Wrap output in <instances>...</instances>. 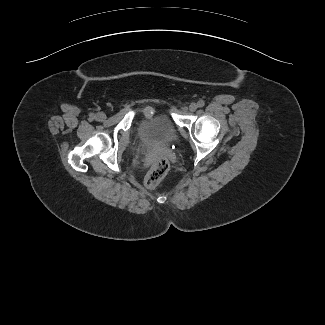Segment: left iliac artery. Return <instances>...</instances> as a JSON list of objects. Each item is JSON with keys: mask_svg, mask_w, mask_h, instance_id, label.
<instances>
[{"mask_svg": "<svg viewBox=\"0 0 325 325\" xmlns=\"http://www.w3.org/2000/svg\"><path fill=\"white\" fill-rule=\"evenodd\" d=\"M198 107H203L205 105V102L203 100L198 101Z\"/></svg>", "mask_w": 325, "mask_h": 325, "instance_id": "1", "label": "left iliac artery"}]
</instances>
